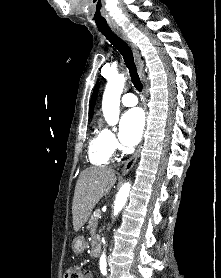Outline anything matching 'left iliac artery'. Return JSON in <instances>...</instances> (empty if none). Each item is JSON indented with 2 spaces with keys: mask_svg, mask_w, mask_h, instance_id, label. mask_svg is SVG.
<instances>
[{
  "mask_svg": "<svg viewBox=\"0 0 221 278\" xmlns=\"http://www.w3.org/2000/svg\"><path fill=\"white\" fill-rule=\"evenodd\" d=\"M100 270L103 275H106L107 271H106V263L105 262H100Z\"/></svg>",
  "mask_w": 221,
  "mask_h": 278,
  "instance_id": "left-iliac-artery-1",
  "label": "left iliac artery"
}]
</instances>
